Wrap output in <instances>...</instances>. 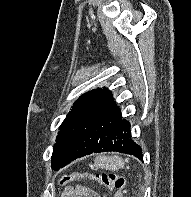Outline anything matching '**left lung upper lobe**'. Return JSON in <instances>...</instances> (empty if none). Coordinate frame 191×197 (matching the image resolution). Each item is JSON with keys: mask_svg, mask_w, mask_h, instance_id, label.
Segmentation results:
<instances>
[{"mask_svg": "<svg viewBox=\"0 0 191 197\" xmlns=\"http://www.w3.org/2000/svg\"><path fill=\"white\" fill-rule=\"evenodd\" d=\"M109 91H106L105 88L103 89H94L90 92H87L82 95V97L77 100L72 107V110L67 115L66 119L63 121L62 125L60 126V131L58 133V136L56 138V143L53 147V153H52V168L56 169L59 164L66 159L73 151L71 148L70 143L68 142L67 138V130L68 126L72 120V116L76 109L81 105L83 102L90 98H100L103 95L107 94Z\"/></svg>", "mask_w": 191, "mask_h": 197, "instance_id": "5c2ea615", "label": "left lung upper lobe"}]
</instances>
